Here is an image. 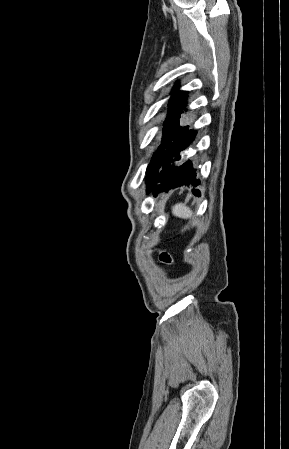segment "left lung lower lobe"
<instances>
[{"mask_svg":"<svg viewBox=\"0 0 289 449\" xmlns=\"http://www.w3.org/2000/svg\"><path fill=\"white\" fill-rule=\"evenodd\" d=\"M196 132L189 130L188 126L183 127L175 137L166 145L164 159L158 174L147 180V192L153 190L156 196L161 191H168L182 185L197 186L200 184L196 178V169L190 160L183 164L177 162L182 158V152L195 139ZM192 192L199 196V192L193 189Z\"/></svg>","mask_w":289,"mask_h":449,"instance_id":"obj_1","label":"left lung lower lobe"}]
</instances>
